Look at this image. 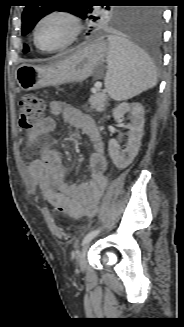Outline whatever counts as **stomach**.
Masks as SVG:
<instances>
[{
  "mask_svg": "<svg viewBox=\"0 0 184 327\" xmlns=\"http://www.w3.org/2000/svg\"><path fill=\"white\" fill-rule=\"evenodd\" d=\"M108 45L105 41H95L82 46L66 58L46 66L21 64L15 77L24 91L65 83H77L90 76H100Z\"/></svg>",
  "mask_w": 184,
  "mask_h": 327,
  "instance_id": "0dacf381",
  "label": "stomach"
}]
</instances>
